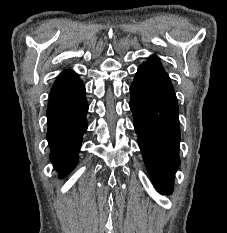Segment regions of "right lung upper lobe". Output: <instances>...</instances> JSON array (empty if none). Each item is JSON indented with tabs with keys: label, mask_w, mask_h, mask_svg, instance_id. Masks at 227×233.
Wrapping results in <instances>:
<instances>
[{
	"label": "right lung upper lobe",
	"mask_w": 227,
	"mask_h": 233,
	"mask_svg": "<svg viewBox=\"0 0 227 233\" xmlns=\"http://www.w3.org/2000/svg\"><path fill=\"white\" fill-rule=\"evenodd\" d=\"M77 81H79L78 74L70 70L64 71L58 76L57 80L55 81L50 92V97L57 94L59 91L66 89Z\"/></svg>",
	"instance_id": "obj_1"
}]
</instances>
